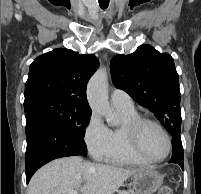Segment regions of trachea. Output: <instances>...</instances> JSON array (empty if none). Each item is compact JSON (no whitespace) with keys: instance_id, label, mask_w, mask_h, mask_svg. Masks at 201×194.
Segmentation results:
<instances>
[{"instance_id":"1","label":"trachea","mask_w":201,"mask_h":194,"mask_svg":"<svg viewBox=\"0 0 201 194\" xmlns=\"http://www.w3.org/2000/svg\"><path fill=\"white\" fill-rule=\"evenodd\" d=\"M99 5H100V7H101L102 9H106V8L108 7V5H109V2H100V1H99Z\"/></svg>"}]
</instances>
